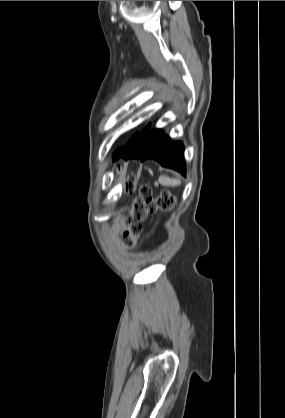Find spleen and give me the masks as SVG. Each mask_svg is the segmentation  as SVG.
Returning a JSON list of instances; mask_svg holds the SVG:
<instances>
[{
  "instance_id": "spleen-1",
  "label": "spleen",
  "mask_w": 285,
  "mask_h": 418,
  "mask_svg": "<svg viewBox=\"0 0 285 418\" xmlns=\"http://www.w3.org/2000/svg\"><path fill=\"white\" fill-rule=\"evenodd\" d=\"M158 181L165 186H177L181 184V182L177 179H172L166 176H160Z\"/></svg>"
}]
</instances>
